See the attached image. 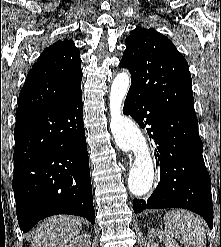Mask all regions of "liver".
Here are the masks:
<instances>
[{
	"label": "liver",
	"mask_w": 221,
	"mask_h": 247,
	"mask_svg": "<svg viewBox=\"0 0 221 247\" xmlns=\"http://www.w3.org/2000/svg\"><path fill=\"white\" fill-rule=\"evenodd\" d=\"M82 219L72 216H52L43 220L28 235L31 247H64L80 234Z\"/></svg>",
	"instance_id": "obj_1"
}]
</instances>
